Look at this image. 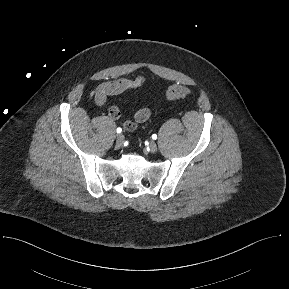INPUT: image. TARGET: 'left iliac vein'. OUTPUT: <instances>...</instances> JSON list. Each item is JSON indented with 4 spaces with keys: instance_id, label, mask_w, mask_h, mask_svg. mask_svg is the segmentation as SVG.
I'll list each match as a JSON object with an SVG mask.
<instances>
[{
    "instance_id": "obj_1",
    "label": "left iliac vein",
    "mask_w": 289,
    "mask_h": 289,
    "mask_svg": "<svg viewBox=\"0 0 289 289\" xmlns=\"http://www.w3.org/2000/svg\"><path fill=\"white\" fill-rule=\"evenodd\" d=\"M148 148H149V151L151 152V153H156L157 152V144L154 142V141H151L150 143H149V146H148Z\"/></svg>"
}]
</instances>
